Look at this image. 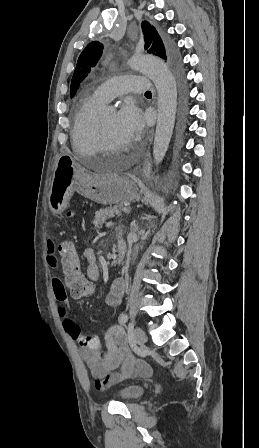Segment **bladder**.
<instances>
[{"instance_id": "obj_1", "label": "bladder", "mask_w": 259, "mask_h": 448, "mask_svg": "<svg viewBox=\"0 0 259 448\" xmlns=\"http://www.w3.org/2000/svg\"><path fill=\"white\" fill-rule=\"evenodd\" d=\"M145 387L141 385H129L118 389L115 394L126 402L134 401L142 397Z\"/></svg>"}]
</instances>
